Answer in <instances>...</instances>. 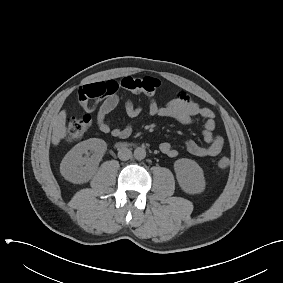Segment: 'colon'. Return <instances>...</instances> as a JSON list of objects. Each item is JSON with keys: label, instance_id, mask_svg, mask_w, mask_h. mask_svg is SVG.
<instances>
[{"label": "colon", "instance_id": "colon-1", "mask_svg": "<svg viewBox=\"0 0 283 283\" xmlns=\"http://www.w3.org/2000/svg\"><path fill=\"white\" fill-rule=\"evenodd\" d=\"M160 86L158 79L154 77H124L117 84V90L129 93L153 94ZM92 124L91 117L87 114L68 119L66 124L65 139L68 142H74L82 138ZM219 169H226L230 165V160L226 157L218 159L216 163Z\"/></svg>", "mask_w": 283, "mask_h": 283}]
</instances>
